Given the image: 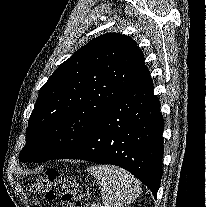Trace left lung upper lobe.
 <instances>
[{
	"label": "left lung upper lobe",
	"instance_id": "obj_1",
	"mask_svg": "<svg viewBox=\"0 0 206 207\" xmlns=\"http://www.w3.org/2000/svg\"><path fill=\"white\" fill-rule=\"evenodd\" d=\"M145 68L142 51L126 35L107 33L81 47L40 89L20 161L63 159L78 150Z\"/></svg>",
	"mask_w": 206,
	"mask_h": 207
}]
</instances>
